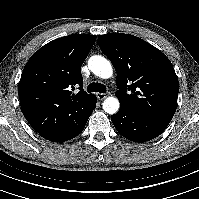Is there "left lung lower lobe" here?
<instances>
[{
    "mask_svg": "<svg viewBox=\"0 0 199 199\" xmlns=\"http://www.w3.org/2000/svg\"><path fill=\"white\" fill-rule=\"evenodd\" d=\"M119 111L111 116L116 130L133 142H146L159 136L169 123L145 116L120 103Z\"/></svg>",
    "mask_w": 199,
    "mask_h": 199,
    "instance_id": "obj_1",
    "label": "left lung lower lobe"
}]
</instances>
